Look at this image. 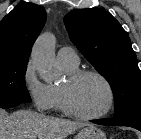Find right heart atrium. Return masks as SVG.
Returning <instances> with one entry per match:
<instances>
[{
    "label": "right heart atrium",
    "instance_id": "1",
    "mask_svg": "<svg viewBox=\"0 0 141 139\" xmlns=\"http://www.w3.org/2000/svg\"><path fill=\"white\" fill-rule=\"evenodd\" d=\"M22 82L30 101L38 111H48L52 108L50 87L39 79L32 60L25 65Z\"/></svg>",
    "mask_w": 141,
    "mask_h": 139
}]
</instances>
